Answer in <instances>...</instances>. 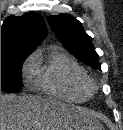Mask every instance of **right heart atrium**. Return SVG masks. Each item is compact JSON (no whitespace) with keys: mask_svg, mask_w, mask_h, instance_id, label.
I'll return each instance as SVG.
<instances>
[{"mask_svg":"<svg viewBox=\"0 0 123 130\" xmlns=\"http://www.w3.org/2000/svg\"><path fill=\"white\" fill-rule=\"evenodd\" d=\"M30 63V62H29ZM29 63L27 64V68L29 69Z\"/></svg>","mask_w":123,"mask_h":130,"instance_id":"right-heart-atrium-1","label":"right heart atrium"}]
</instances>
